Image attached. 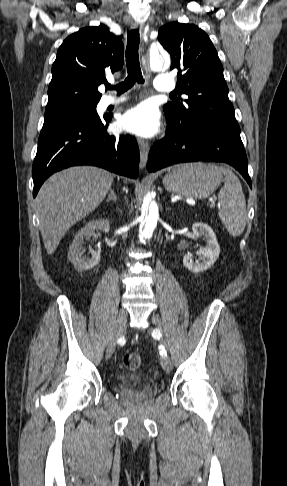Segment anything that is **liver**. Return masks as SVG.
Segmentation results:
<instances>
[{
    "label": "liver",
    "instance_id": "1",
    "mask_svg": "<svg viewBox=\"0 0 287 486\" xmlns=\"http://www.w3.org/2000/svg\"><path fill=\"white\" fill-rule=\"evenodd\" d=\"M113 174L93 166H75L51 176L36 197L39 229L48 255L65 233L106 197Z\"/></svg>",
    "mask_w": 287,
    "mask_h": 486
}]
</instances>
